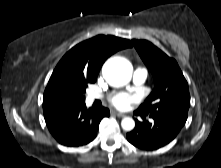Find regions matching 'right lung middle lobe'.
Here are the masks:
<instances>
[{"label": "right lung middle lobe", "mask_w": 221, "mask_h": 168, "mask_svg": "<svg viewBox=\"0 0 221 168\" xmlns=\"http://www.w3.org/2000/svg\"><path fill=\"white\" fill-rule=\"evenodd\" d=\"M96 79L87 78L83 75H64L55 88L58 96L69 103H81L85 101V91L90 83Z\"/></svg>", "instance_id": "right-lung-middle-lobe-1"}]
</instances>
